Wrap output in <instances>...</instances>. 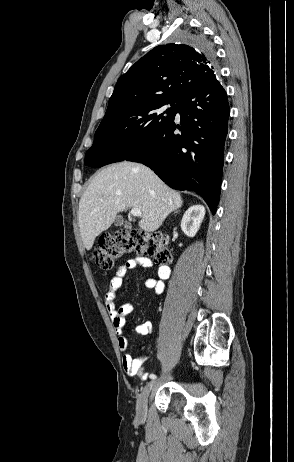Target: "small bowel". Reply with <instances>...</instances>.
I'll use <instances>...</instances> for the list:
<instances>
[{"instance_id":"c3829d8e","label":"small bowel","mask_w":294,"mask_h":462,"mask_svg":"<svg viewBox=\"0 0 294 462\" xmlns=\"http://www.w3.org/2000/svg\"><path fill=\"white\" fill-rule=\"evenodd\" d=\"M138 266L152 268L154 264L148 257H136L118 267L114 275L106 281L107 291L105 293L104 303L118 339V346L121 351L125 352L122 358L125 373L129 376H138L140 379L146 380L149 373L144 369V363L147 360L145 352L136 357H133L127 352L129 341L125 335V327L127 317L132 312L133 306L130 303H125L119 308L116 306L117 290L121 287L125 275L128 271L134 270ZM170 273L171 270L169 266H158V276L156 278H148L145 281V286L152 289L156 295H160L164 291V281L169 278ZM152 328V323L146 321L137 325L134 328V332L139 336H147L152 332Z\"/></svg>"}]
</instances>
